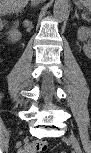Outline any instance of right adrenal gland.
I'll use <instances>...</instances> for the list:
<instances>
[{
	"instance_id": "1",
	"label": "right adrenal gland",
	"mask_w": 91,
	"mask_h": 153,
	"mask_svg": "<svg viewBox=\"0 0 91 153\" xmlns=\"http://www.w3.org/2000/svg\"><path fill=\"white\" fill-rule=\"evenodd\" d=\"M31 6H32V7H36V6H37V4L31 3Z\"/></svg>"
}]
</instances>
